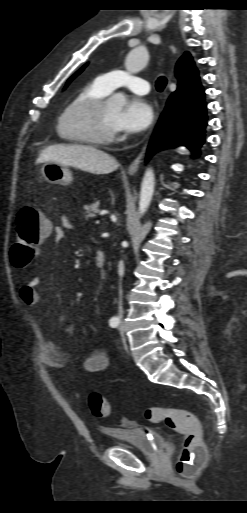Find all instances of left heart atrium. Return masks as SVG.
<instances>
[{
  "label": "left heart atrium",
  "mask_w": 247,
  "mask_h": 513,
  "mask_svg": "<svg viewBox=\"0 0 247 513\" xmlns=\"http://www.w3.org/2000/svg\"><path fill=\"white\" fill-rule=\"evenodd\" d=\"M153 119L154 112L151 105L144 99L135 97L128 100L119 111L114 120V128L116 131L140 132L145 130Z\"/></svg>",
  "instance_id": "obj_1"
}]
</instances>
